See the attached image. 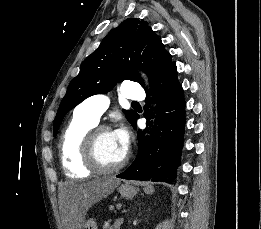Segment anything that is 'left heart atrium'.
I'll use <instances>...</instances> for the list:
<instances>
[{"label": "left heart atrium", "mask_w": 261, "mask_h": 229, "mask_svg": "<svg viewBox=\"0 0 261 229\" xmlns=\"http://www.w3.org/2000/svg\"><path fill=\"white\" fill-rule=\"evenodd\" d=\"M113 134L119 144L122 153L126 155L130 148V142H131V135L129 129L123 126L114 130Z\"/></svg>", "instance_id": "obj_1"}]
</instances>
